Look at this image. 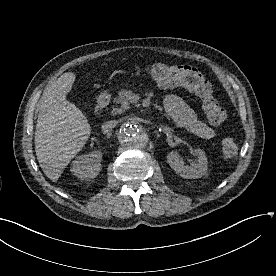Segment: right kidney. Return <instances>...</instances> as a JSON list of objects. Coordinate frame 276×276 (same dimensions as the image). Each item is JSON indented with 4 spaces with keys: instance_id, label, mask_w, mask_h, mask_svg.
<instances>
[{
    "instance_id": "ca27d5eb",
    "label": "right kidney",
    "mask_w": 276,
    "mask_h": 276,
    "mask_svg": "<svg viewBox=\"0 0 276 276\" xmlns=\"http://www.w3.org/2000/svg\"><path fill=\"white\" fill-rule=\"evenodd\" d=\"M102 153L93 151L78 156L71 165V172L80 180L95 178L101 170Z\"/></svg>"
}]
</instances>
